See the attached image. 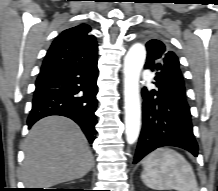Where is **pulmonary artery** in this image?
Segmentation results:
<instances>
[{
	"label": "pulmonary artery",
	"instance_id": "e3ab8cb5",
	"mask_svg": "<svg viewBox=\"0 0 218 191\" xmlns=\"http://www.w3.org/2000/svg\"><path fill=\"white\" fill-rule=\"evenodd\" d=\"M145 74H146V75H150V73H149V72H145Z\"/></svg>",
	"mask_w": 218,
	"mask_h": 191
}]
</instances>
